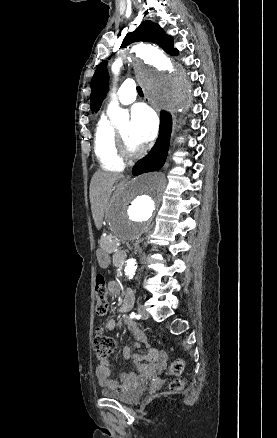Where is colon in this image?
<instances>
[{
	"instance_id": "obj_1",
	"label": "colon",
	"mask_w": 277,
	"mask_h": 438,
	"mask_svg": "<svg viewBox=\"0 0 277 438\" xmlns=\"http://www.w3.org/2000/svg\"><path fill=\"white\" fill-rule=\"evenodd\" d=\"M95 311L98 315H105L109 310V302L107 300L106 279L103 274L98 273L95 277ZM93 347L97 357L101 360H106L115 348V341L112 336L105 333L102 327H98L93 337ZM184 361L181 358L175 359L170 368L169 375L175 376L183 372ZM169 386L172 390L188 389V380H171Z\"/></svg>"
}]
</instances>
